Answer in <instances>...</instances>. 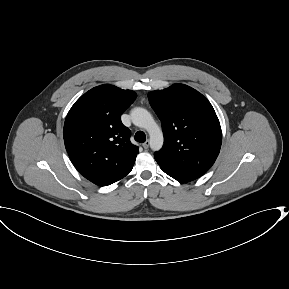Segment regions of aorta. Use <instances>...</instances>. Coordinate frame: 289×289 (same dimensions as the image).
Here are the masks:
<instances>
[{"label": "aorta", "mask_w": 289, "mask_h": 289, "mask_svg": "<svg viewBox=\"0 0 289 289\" xmlns=\"http://www.w3.org/2000/svg\"><path fill=\"white\" fill-rule=\"evenodd\" d=\"M131 119L135 126L147 130L150 136L151 149L153 151L160 150L164 142L163 132L150 112L144 108L136 107L131 111Z\"/></svg>", "instance_id": "aorta-1"}]
</instances>
